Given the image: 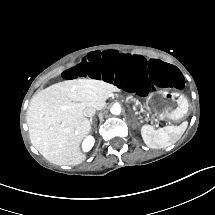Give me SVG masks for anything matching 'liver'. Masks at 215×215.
<instances>
[{
	"label": "liver",
	"instance_id": "liver-1",
	"mask_svg": "<svg viewBox=\"0 0 215 215\" xmlns=\"http://www.w3.org/2000/svg\"><path fill=\"white\" fill-rule=\"evenodd\" d=\"M119 89L101 80L73 79L55 83L37 92L27 109L31 144L50 162L77 165L84 160L79 151L90 124L83 109L105 106L109 93Z\"/></svg>",
	"mask_w": 215,
	"mask_h": 215
}]
</instances>
